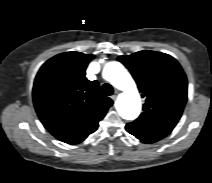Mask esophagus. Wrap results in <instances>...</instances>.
Here are the masks:
<instances>
[{"instance_id":"esophagus-1","label":"esophagus","mask_w":212,"mask_h":183,"mask_svg":"<svg viewBox=\"0 0 212 183\" xmlns=\"http://www.w3.org/2000/svg\"><path fill=\"white\" fill-rule=\"evenodd\" d=\"M118 94H119V92L116 91V92L111 96V99H112V100H116Z\"/></svg>"}]
</instances>
